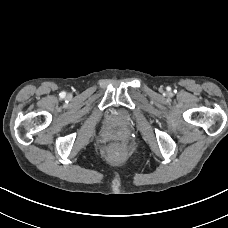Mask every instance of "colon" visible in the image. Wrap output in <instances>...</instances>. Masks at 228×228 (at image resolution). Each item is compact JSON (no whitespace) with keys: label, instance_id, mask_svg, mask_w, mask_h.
Here are the masks:
<instances>
[{"label":"colon","instance_id":"1","mask_svg":"<svg viewBox=\"0 0 228 228\" xmlns=\"http://www.w3.org/2000/svg\"><path fill=\"white\" fill-rule=\"evenodd\" d=\"M108 150L112 154H118L120 152L121 148H120V145L119 144H117V143H111L108 146Z\"/></svg>","mask_w":228,"mask_h":228}]
</instances>
